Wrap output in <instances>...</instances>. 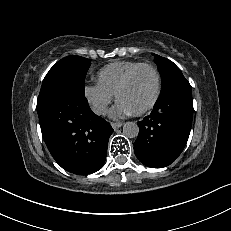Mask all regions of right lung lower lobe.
Returning <instances> with one entry per match:
<instances>
[{
  "instance_id": "right-lung-lower-lobe-1",
  "label": "right lung lower lobe",
  "mask_w": 231,
  "mask_h": 231,
  "mask_svg": "<svg viewBox=\"0 0 231 231\" xmlns=\"http://www.w3.org/2000/svg\"><path fill=\"white\" fill-rule=\"evenodd\" d=\"M37 112L45 143L62 168L77 175L101 169L114 130L91 111L84 94L56 91L37 102Z\"/></svg>"
}]
</instances>
